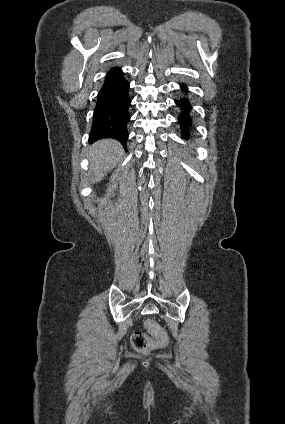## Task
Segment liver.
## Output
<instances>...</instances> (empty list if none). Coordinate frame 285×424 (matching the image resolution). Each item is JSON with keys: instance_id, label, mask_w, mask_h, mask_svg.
Segmentation results:
<instances>
[{"instance_id": "obj_1", "label": "liver", "mask_w": 285, "mask_h": 424, "mask_svg": "<svg viewBox=\"0 0 285 424\" xmlns=\"http://www.w3.org/2000/svg\"><path fill=\"white\" fill-rule=\"evenodd\" d=\"M123 149L120 143L112 139L97 141L89 154L92 170V183H97L121 159Z\"/></svg>"}]
</instances>
